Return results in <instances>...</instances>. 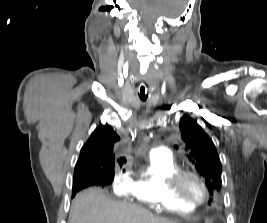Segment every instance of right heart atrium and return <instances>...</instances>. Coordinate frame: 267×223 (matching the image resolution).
Returning <instances> with one entry per match:
<instances>
[{"label":"right heart atrium","mask_w":267,"mask_h":223,"mask_svg":"<svg viewBox=\"0 0 267 223\" xmlns=\"http://www.w3.org/2000/svg\"><path fill=\"white\" fill-rule=\"evenodd\" d=\"M129 185V177L123 170H117L112 179V189L115 194L122 195L125 194L127 187Z\"/></svg>","instance_id":"1"}]
</instances>
